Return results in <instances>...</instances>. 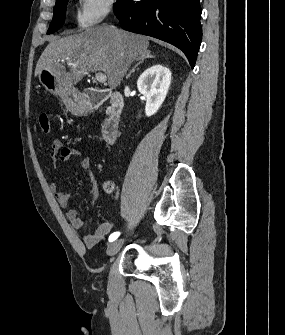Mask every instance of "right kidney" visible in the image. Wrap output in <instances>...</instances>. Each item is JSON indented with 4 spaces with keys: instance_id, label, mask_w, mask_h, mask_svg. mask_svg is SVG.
Returning a JSON list of instances; mask_svg holds the SVG:
<instances>
[{
    "instance_id": "right-kidney-1",
    "label": "right kidney",
    "mask_w": 285,
    "mask_h": 335,
    "mask_svg": "<svg viewBox=\"0 0 285 335\" xmlns=\"http://www.w3.org/2000/svg\"><path fill=\"white\" fill-rule=\"evenodd\" d=\"M171 72L161 64L145 70L137 80L140 94L146 98L145 114L153 116L162 106L170 88Z\"/></svg>"
}]
</instances>
